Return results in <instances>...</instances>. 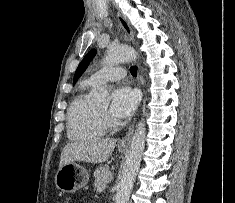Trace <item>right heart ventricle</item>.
I'll return each mask as SVG.
<instances>
[{"label":"right heart ventricle","instance_id":"e07e8e85","mask_svg":"<svg viewBox=\"0 0 235 203\" xmlns=\"http://www.w3.org/2000/svg\"><path fill=\"white\" fill-rule=\"evenodd\" d=\"M94 87L88 81L83 82L68 108L67 132L71 140L96 139L105 134L98 107L89 97Z\"/></svg>","mask_w":235,"mask_h":203}]
</instances>
